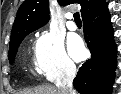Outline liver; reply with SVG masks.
Instances as JSON below:
<instances>
[{
    "instance_id": "1",
    "label": "liver",
    "mask_w": 121,
    "mask_h": 94,
    "mask_svg": "<svg viewBox=\"0 0 121 94\" xmlns=\"http://www.w3.org/2000/svg\"><path fill=\"white\" fill-rule=\"evenodd\" d=\"M19 94H61V91L55 86L42 85L33 89L21 91Z\"/></svg>"
}]
</instances>
